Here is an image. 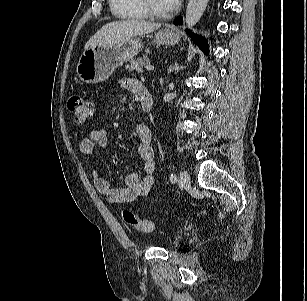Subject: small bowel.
<instances>
[{"label":"small bowel","instance_id":"1","mask_svg":"<svg viewBox=\"0 0 307 301\" xmlns=\"http://www.w3.org/2000/svg\"><path fill=\"white\" fill-rule=\"evenodd\" d=\"M124 85L129 91L136 94L143 87L139 81L133 79L126 80ZM135 135L138 140L137 153L144 162L142 176L136 173L130 174L125 178V186L122 189H116L100 175L96 167H92L91 170L97 191L114 204L130 203L147 196L154 183L156 164L150 130L146 125L139 124L135 128ZM97 146L107 148L108 139L103 129L93 128L82 138L79 147L83 154L90 156Z\"/></svg>","mask_w":307,"mask_h":301}]
</instances>
